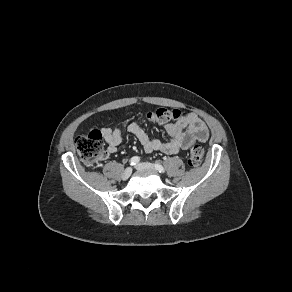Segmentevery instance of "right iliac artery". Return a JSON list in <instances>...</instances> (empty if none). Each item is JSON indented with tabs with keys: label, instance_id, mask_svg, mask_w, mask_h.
<instances>
[{
	"label": "right iliac artery",
	"instance_id": "obj_1",
	"mask_svg": "<svg viewBox=\"0 0 292 292\" xmlns=\"http://www.w3.org/2000/svg\"><path fill=\"white\" fill-rule=\"evenodd\" d=\"M140 161V158L138 156H134L130 159V165H136Z\"/></svg>",
	"mask_w": 292,
	"mask_h": 292
}]
</instances>
